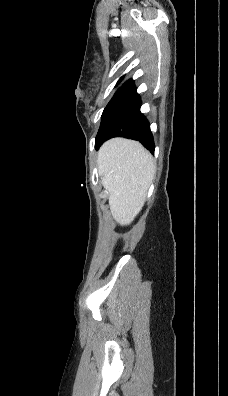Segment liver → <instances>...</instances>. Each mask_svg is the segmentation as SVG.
Instances as JSON below:
<instances>
[{"label":"liver","mask_w":228,"mask_h":396,"mask_svg":"<svg viewBox=\"0 0 228 396\" xmlns=\"http://www.w3.org/2000/svg\"><path fill=\"white\" fill-rule=\"evenodd\" d=\"M97 166L109 192L113 218L122 226L130 224L141 211L154 178L152 155L137 141L113 138L101 146Z\"/></svg>","instance_id":"1"}]
</instances>
